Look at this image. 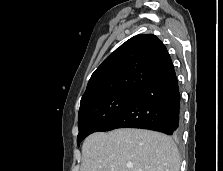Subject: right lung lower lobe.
<instances>
[{
	"label": "right lung lower lobe",
	"instance_id": "98d812e1",
	"mask_svg": "<svg viewBox=\"0 0 223 171\" xmlns=\"http://www.w3.org/2000/svg\"><path fill=\"white\" fill-rule=\"evenodd\" d=\"M180 92L174 68L140 91L98 131L117 128H142L163 132L174 137L181 135Z\"/></svg>",
	"mask_w": 223,
	"mask_h": 171
}]
</instances>
